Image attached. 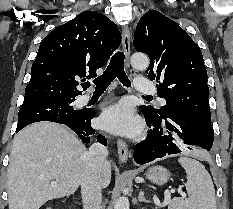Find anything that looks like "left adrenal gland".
<instances>
[{
  "mask_svg": "<svg viewBox=\"0 0 233 209\" xmlns=\"http://www.w3.org/2000/svg\"><path fill=\"white\" fill-rule=\"evenodd\" d=\"M138 201H139V202H145V203H149V202H150V201H148V200L145 199V197H144V192H143V191H141V192L139 193Z\"/></svg>",
  "mask_w": 233,
  "mask_h": 209,
  "instance_id": "left-adrenal-gland-1",
  "label": "left adrenal gland"
}]
</instances>
